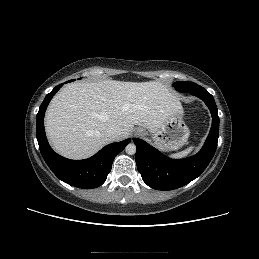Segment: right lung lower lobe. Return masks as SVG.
<instances>
[{"label": "right lung lower lobe", "instance_id": "obj_1", "mask_svg": "<svg viewBox=\"0 0 259 259\" xmlns=\"http://www.w3.org/2000/svg\"><path fill=\"white\" fill-rule=\"evenodd\" d=\"M62 85L56 86L46 95L37 114L36 136L40 152L52 172L63 182L83 189L99 187L106 181L115 156L130 143L131 139L109 144L85 160H70L56 154L48 144L43 121L50 100Z\"/></svg>", "mask_w": 259, "mask_h": 259}]
</instances>
